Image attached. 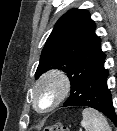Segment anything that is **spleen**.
<instances>
[{"label": "spleen", "mask_w": 117, "mask_h": 131, "mask_svg": "<svg viewBox=\"0 0 117 131\" xmlns=\"http://www.w3.org/2000/svg\"><path fill=\"white\" fill-rule=\"evenodd\" d=\"M81 126L88 131H111L106 118L98 111L86 108L82 112Z\"/></svg>", "instance_id": "1"}]
</instances>
